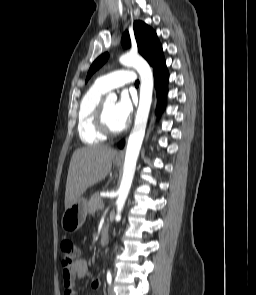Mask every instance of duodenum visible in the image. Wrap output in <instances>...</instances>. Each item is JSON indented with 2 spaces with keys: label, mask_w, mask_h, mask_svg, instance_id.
Here are the masks:
<instances>
[{
  "label": "duodenum",
  "mask_w": 256,
  "mask_h": 295,
  "mask_svg": "<svg viewBox=\"0 0 256 295\" xmlns=\"http://www.w3.org/2000/svg\"><path fill=\"white\" fill-rule=\"evenodd\" d=\"M108 227L104 225L100 232V245H104L107 242Z\"/></svg>",
  "instance_id": "duodenum-1"
}]
</instances>
